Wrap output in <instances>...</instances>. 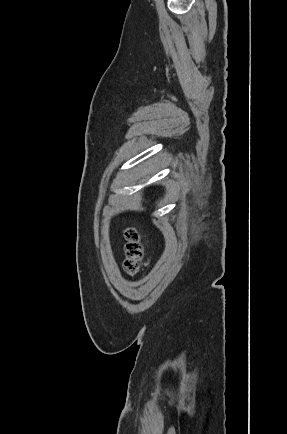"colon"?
Segmentation results:
<instances>
[{
    "mask_svg": "<svg viewBox=\"0 0 287 434\" xmlns=\"http://www.w3.org/2000/svg\"><path fill=\"white\" fill-rule=\"evenodd\" d=\"M124 237L125 243V272L130 275H136L141 269V261L143 259V245L141 242L140 234L135 228H128L125 230Z\"/></svg>",
    "mask_w": 287,
    "mask_h": 434,
    "instance_id": "1",
    "label": "colon"
}]
</instances>
